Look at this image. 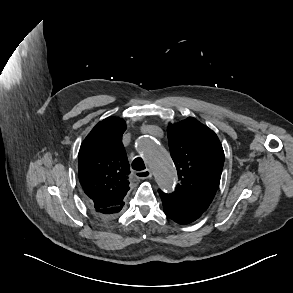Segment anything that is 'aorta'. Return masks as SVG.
<instances>
[{
	"instance_id": "obj_1",
	"label": "aorta",
	"mask_w": 293,
	"mask_h": 293,
	"mask_svg": "<svg viewBox=\"0 0 293 293\" xmlns=\"http://www.w3.org/2000/svg\"><path fill=\"white\" fill-rule=\"evenodd\" d=\"M139 150L153 168L159 187L165 192H172L175 186L176 169L168 152L149 136L140 139Z\"/></svg>"
}]
</instances>
